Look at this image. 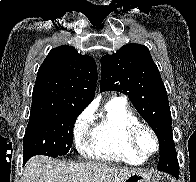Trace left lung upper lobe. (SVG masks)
Instances as JSON below:
<instances>
[{"label":"left lung upper lobe","instance_id":"obj_1","mask_svg":"<svg viewBox=\"0 0 196 182\" xmlns=\"http://www.w3.org/2000/svg\"><path fill=\"white\" fill-rule=\"evenodd\" d=\"M100 91H118L128 95L157 135L160 149L175 151L167 92L146 46L126 44L116 53L103 56ZM158 170L178 175L177 157L174 161L159 159Z\"/></svg>","mask_w":196,"mask_h":182}]
</instances>
